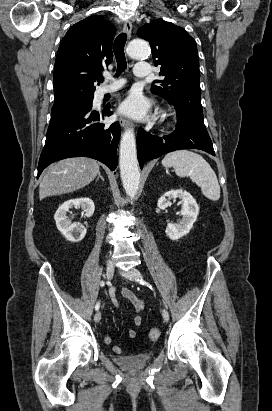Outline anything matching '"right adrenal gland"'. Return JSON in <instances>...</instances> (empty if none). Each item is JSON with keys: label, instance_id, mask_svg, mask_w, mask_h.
I'll return each instance as SVG.
<instances>
[{"label": "right adrenal gland", "instance_id": "2a0ac1e0", "mask_svg": "<svg viewBox=\"0 0 272 411\" xmlns=\"http://www.w3.org/2000/svg\"><path fill=\"white\" fill-rule=\"evenodd\" d=\"M99 179H101L104 182V178H103V176L101 175L100 172L98 173V177H97L96 181H98Z\"/></svg>", "mask_w": 272, "mask_h": 411}]
</instances>
